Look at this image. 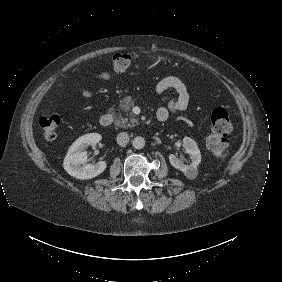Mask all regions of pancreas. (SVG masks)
I'll return each mask as SVG.
<instances>
[{"label":"pancreas","mask_w":282,"mask_h":282,"mask_svg":"<svg viewBox=\"0 0 282 282\" xmlns=\"http://www.w3.org/2000/svg\"><path fill=\"white\" fill-rule=\"evenodd\" d=\"M136 100L130 101V98H126L121 104V113L115 119V125L121 128H127L128 126H134L138 122V118L130 110L134 107Z\"/></svg>","instance_id":"cf45deb5"}]
</instances>
